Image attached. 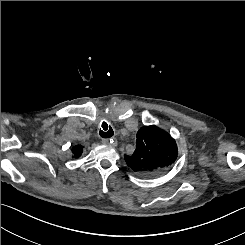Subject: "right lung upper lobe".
Returning <instances> with one entry per match:
<instances>
[{
	"mask_svg": "<svg viewBox=\"0 0 245 245\" xmlns=\"http://www.w3.org/2000/svg\"><path fill=\"white\" fill-rule=\"evenodd\" d=\"M83 152V146L81 145H76L72 148V153L75 158L80 157Z\"/></svg>",
	"mask_w": 245,
	"mask_h": 245,
	"instance_id": "obj_1",
	"label": "right lung upper lobe"
}]
</instances>
